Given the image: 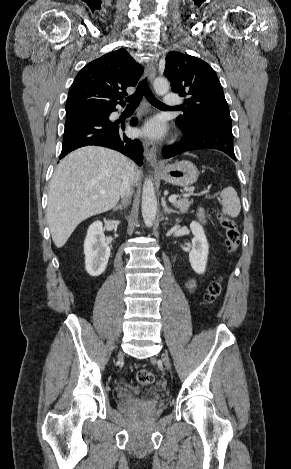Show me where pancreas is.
<instances>
[{"instance_id": "obj_1", "label": "pancreas", "mask_w": 291, "mask_h": 469, "mask_svg": "<svg viewBox=\"0 0 291 469\" xmlns=\"http://www.w3.org/2000/svg\"><path fill=\"white\" fill-rule=\"evenodd\" d=\"M191 201L188 200V198H179L176 200L173 205L180 210V212L186 213L188 211V208L191 205Z\"/></svg>"}]
</instances>
